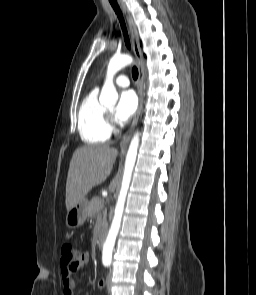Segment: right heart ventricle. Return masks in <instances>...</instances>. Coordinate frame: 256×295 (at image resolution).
Masks as SVG:
<instances>
[{"instance_id": "right-heart-ventricle-1", "label": "right heart ventricle", "mask_w": 256, "mask_h": 295, "mask_svg": "<svg viewBox=\"0 0 256 295\" xmlns=\"http://www.w3.org/2000/svg\"><path fill=\"white\" fill-rule=\"evenodd\" d=\"M78 130L81 139L88 144L106 142L110 137L107 111L98 100L97 88L92 89L80 105Z\"/></svg>"}]
</instances>
